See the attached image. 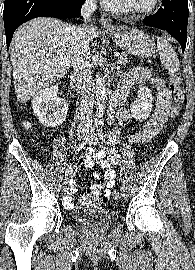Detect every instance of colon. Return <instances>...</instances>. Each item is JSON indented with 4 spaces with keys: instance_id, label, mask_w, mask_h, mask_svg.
<instances>
[{
    "instance_id": "colon-1",
    "label": "colon",
    "mask_w": 195,
    "mask_h": 270,
    "mask_svg": "<svg viewBox=\"0 0 195 270\" xmlns=\"http://www.w3.org/2000/svg\"><path fill=\"white\" fill-rule=\"evenodd\" d=\"M169 86L171 91L174 93V102L171 109V118L176 119L183 108L185 95L182 87V79L180 74L172 73L169 77ZM114 200L118 201L120 199V193L115 191L113 193Z\"/></svg>"
}]
</instances>
